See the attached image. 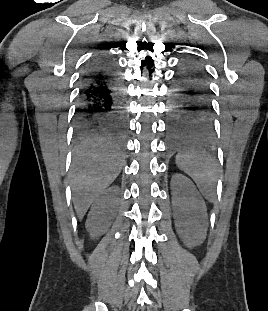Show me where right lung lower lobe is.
<instances>
[{
    "label": "right lung lower lobe",
    "instance_id": "obj_1",
    "mask_svg": "<svg viewBox=\"0 0 268 311\" xmlns=\"http://www.w3.org/2000/svg\"><path fill=\"white\" fill-rule=\"evenodd\" d=\"M125 105L114 62L107 57L95 60L83 76L75 111L76 137H106L121 142L127 132Z\"/></svg>",
    "mask_w": 268,
    "mask_h": 311
}]
</instances>
